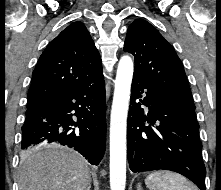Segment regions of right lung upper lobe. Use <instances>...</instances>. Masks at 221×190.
<instances>
[{
    "instance_id": "cb5924a9",
    "label": "right lung upper lobe",
    "mask_w": 221,
    "mask_h": 190,
    "mask_svg": "<svg viewBox=\"0 0 221 190\" xmlns=\"http://www.w3.org/2000/svg\"><path fill=\"white\" fill-rule=\"evenodd\" d=\"M101 74V58L88 30L82 22H74L41 54L32 74L27 108L91 82Z\"/></svg>"
}]
</instances>
